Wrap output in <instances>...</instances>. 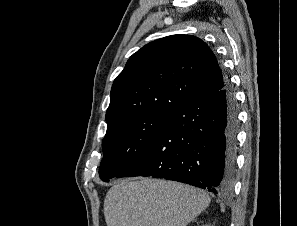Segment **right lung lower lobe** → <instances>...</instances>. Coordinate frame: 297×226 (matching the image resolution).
Instances as JSON below:
<instances>
[{
  "mask_svg": "<svg viewBox=\"0 0 297 226\" xmlns=\"http://www.w3.org/2000/svg\"><path fill=\"white\" fill-rule=\"evenodd\" d=\"M238 110L230 82L173 110L168 124L116 177L149 176L213 193L230 191L236 166Z\"/></svg>",
  "mask_w": 297,
  "mask_h": 226,
  "instance_id": "right-lung-lower-lobe-1",
  "label": "right lung lower lobe"
}]
</instances>
